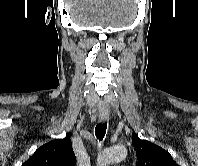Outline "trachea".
Listing matches in <instances>:
<instances>
[{
	"instance_id": "trachea-1",
	"label": "trachea",
	"mask_w": 198,
	"mask_h": 166,
	"mask_svg": "<svg viewBox=\"0 0 198 166\" xmlns=\"http://www.w3.org/2000/svg\"><path fill=\"white\" fill-rule=\"evenodd\" d=\"M106 129H107V122L96 125L95 135H96L97 139H99L100 141L103 140V138L106 134Z\"/></svg>"
}]
</instances>
